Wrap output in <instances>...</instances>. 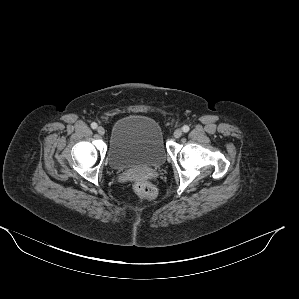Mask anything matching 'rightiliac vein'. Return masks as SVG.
<instances>
[{
    "label": "right iliac vein",
    "instance_id": "1",
    "mask_svg": "<svg viewBox=\"0 0 299 299\" xmlns=\"http://www.w3.org/2000/svg\"><path fill=\"white\" fill-rule=\"evenodd\" d=\"M97 132H98V134H100V135H104V134H105V129H104L102 126H99V127L97 128Z\"/></svg>",
    "mask_w": 299,
    "mask_h": 299
}]
</instances>
